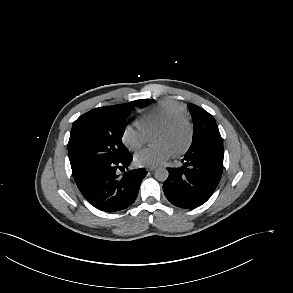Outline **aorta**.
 I'll return each instance as SVG.
<instances>
[{
    "instance_id": "aorta-1",
    "label": "aorta",
    "mask_w": 293,
    "mask_h": 293,
    "mask_svg": "<svg viewBox=\"0 0 293 293\" xmlns=\"http://www.w3.org/2000/svg\"><path fill=\"white\" fill-rule=\"evenodd\" d=\"M168 170L164 167H160L155 170V178L158 181H165L168 178Z\"/></svg>"
}]
</instances>
